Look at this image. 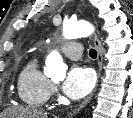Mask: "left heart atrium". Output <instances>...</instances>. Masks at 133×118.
<instances>
[{
  "instance_id": "left-heart-atrium-1",
  "label": "left heart atrium",
  "mask_w": 133,
  "mask_h": 118,
  "mask_svg": "<svg viewBox=\"0 0 133 118\" xmlns=\"http://www.w3.org/2000/svg\"><path fill=\"white\" fill-rule=\"evenodd\" d=\"M96 77L92 69L75 65L68 72L63 83V92L71 99H80L94 88Z\"/></svg>"
}]
</instances>
